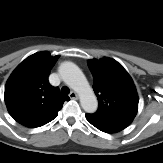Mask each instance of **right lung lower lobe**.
I'll list each match as a JSON object with an SVG mask.
<instances>
[{"label":"right lung lower lobe","instance_id":"98d812e1","mask_svg":"<svg viewBox=\"0 0 163 163\" xmlns=\"http://www.w3.org/2000/svg\"><path fill=\"white\" fill-rule=\"evenodd\" d=\"M54 118H52L50 120H47V121L29 122V123H25V124H22V125H24L26 127H30V128L40 127V126H43V125L47 124L48 122L52 121Z\"/></svg>","mask_w":163,"mask_h":163}]
</instances>
